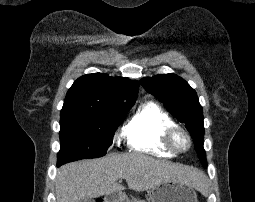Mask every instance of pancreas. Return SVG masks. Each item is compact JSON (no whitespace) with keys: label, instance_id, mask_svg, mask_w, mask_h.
<instances>
[{"label":"pancreas","instance_id":"cf45deb5","mask_svg":"<svg viewBox=\"0 0 255 202\" xmlns=\"http://www.w3.org/2000/svg\"><path fill=\"white\" fill-rule=\"evenodd\" d=\"M131 202H145L144 200H137L135 198H132V201Z\"/></svg>","mask_w":255,"mask_h":202}]
</instances>
